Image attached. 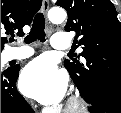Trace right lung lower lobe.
<instances>
[{
	"instance_id": "obj_1",
	"label": "right lung lower lobe",
	"mask_w": 121,
	"mask_h": 113,
	"mask_svg": "<svg viewBox=\"0 0 121 113\" xmlns=\"http://www.w3.org/2000/svg\"><path fill=\"white\" fill-rule=\"evenodd\" d=\"M19 68H8L1 73V113H34L16 89Z\"/></svg>"
}]
</instances>
